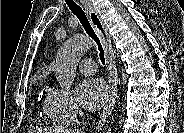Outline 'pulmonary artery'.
<instances>
[{"label": "pulmonary artery", "instance_id": "obj_1", "mask_svg": "<svg viewBox=\"0 0 184 133\" xmlns=\"http://www.w3.org/2000/svg\"><path fill=\"white\" fill-rule=\"evenodd\" d=\"M79 70L84 74H93L96 72V63L90 58H86L80 61Z\"/></svg>", "mask_w": 184, "mask_h": 133}]
</instances>
